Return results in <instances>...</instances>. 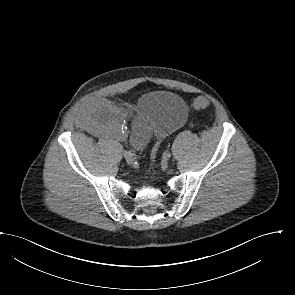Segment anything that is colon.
<instances>
[{
    "label": "colon",
    "instance_id": "5ec220e1",
    "mask_svg": "<svg viewBox=\"0 0 295 295\" xmlns=\"http://www.w3.org/2000/svg\"><path fill=\"white\" fill-rule=\"evenodd\" d=\"M192 105L198 109L206 108L209 106V101H208V99H206L204 97H198L193 100ZM156 155H157V148H154L151 152L152 159H154L156 157Z\"/></svg>",
    "mask_w": 295,
    "mask_h": 295
}]
</instances>
